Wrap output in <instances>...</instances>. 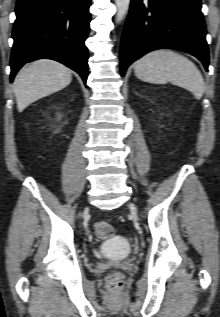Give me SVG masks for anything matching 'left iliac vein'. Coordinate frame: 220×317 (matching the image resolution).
Segmentation results:
<instances>
[{"mask_svg":"<svg viewBox=\"0 0 220 317\" xmlns=\"http://www.w3.org/2000/svg\"><path fill=\"white\" fill-rule=\"evenodd\" d=\"M129 207L131 208V210L134 212V213H136V207H135V205L134 204H129Z\"/></svg>","mask_w":220,"mask_h":317,"instance_id":"left-iliac-vein-1","label":"left iliac vein"}]
</instances>
